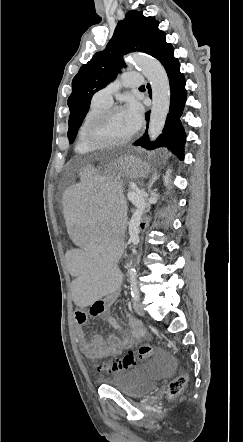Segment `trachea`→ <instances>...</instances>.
<instances>
[{"instance_id":"trachea-1","label":"trachea","mask_w":243,"mask_h":442,"mask_svg":"<svg viewBox=\"0 0 243 442\" xmlns=\"http://www.w3.org/2000/svg\"><path fill=\"white\" fill-rule=\"evenodd\" d=\"M144 87H145L144 85L140 86V88H144Z\"/></svg>"}]
</instances>
